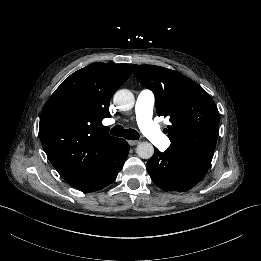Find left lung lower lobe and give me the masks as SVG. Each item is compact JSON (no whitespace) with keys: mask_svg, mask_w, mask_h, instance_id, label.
Returning <instances> with one entry per match:
<instances>
[{"mask_svg":"<svg viewBox=\"0 0 261 261\" xmlns=\"http://www.w3.org/2000/svg\"><path fill=\"white\" fill-rule=\"evenodd\" d=\"M212 157L196 150L168 148L161 153L155 148L146 168L161 189L187 192L203 179Z\"/></svg>","mask_w":261,"mask_h":261,"instance_id":"0a47b994","label":"left lung lower lobe"}]
</instances>
